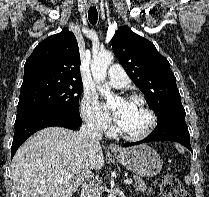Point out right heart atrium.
Listing matches in <instances>:
<instances>
[{
    "mask_svg": "<svg viewBox=\"0 0 209 197\" xmlns=\"http://www.w3.org/2000/svg\"><path fill=\"white\" fill-rule=\"evenodd\" d=\"M80 113L84 122L94 131L107 132L111 128V119L98 99L84 93L80 102Z\"/></svg>",
    "mask_w": 209,
    "mask_h": 197,
    "instance_id": "obj_1",
    "label": "right heart atrium"
}]
</instances>
